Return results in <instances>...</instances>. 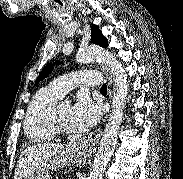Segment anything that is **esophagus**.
I'll return each mask as SVG.
<instances>
[{
  "instance_id": "obj_1",
  "label": "esophagus",
  "mask_w": 183,
  "mask_h": 179,
  "mask_svg": "<svg viewBox=\"0 0 183 179\" xmlns=\"http://www.w3.org/2000/svg\"><path fill=\"white\" fill-rule=\"evenodd\" d=\"M105 73L108 78V84L109 86L112 85V74L108 67H104ZM102 131L100 129H97L93 133H91L89 136L83 138L81 141L77 143V147L80 149L86 151V152H93L95 151L98 142L100 140Z\"/></svg>"
}]
</instances>
